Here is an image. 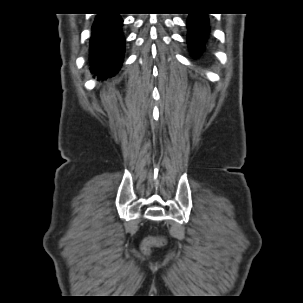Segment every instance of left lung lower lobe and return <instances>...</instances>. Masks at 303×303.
I'll return each instance as SVG.
<instances>
[{
    "mask_svg": "<svg viewBox=\"0 0 303 303\" xmlns=\"http://www.w3.org/2000/svg\"><path fill=\"white\" fill-rule=\"evenodd\" d=\"M188 44L191 51L198 55L204 50L209 35V20L206 14H190L187 21Z\"/></svg>",
    "mask_w": 303,
    "mask_h": 303,
    "instance_id": "left-lung-lower-lobe-1",
    "label": "left lung lower lobe"
}]
</instances>
